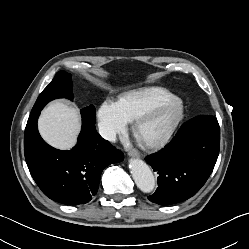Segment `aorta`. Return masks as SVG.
<instances>
[{"instance_id": "obj_1", "label": "aorta", "mask_w": 249, "mask_h": 249, "mask_svg": "<svg viewBox=\"0 0 249 249\" xmlns=\"http://www.w3.org/2000/svg\"><path fill=\"white\" fill-rule=\"evenodd\" d=\"M129 168L137 187L142 192H152L155 187V178L149 166L140 159H130Z\"/></svg>"}]
</instances>
